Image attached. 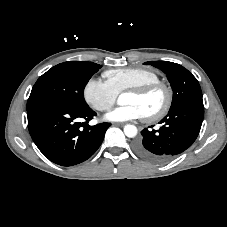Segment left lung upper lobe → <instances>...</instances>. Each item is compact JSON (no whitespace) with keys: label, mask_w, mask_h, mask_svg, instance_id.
I'll list each match as a JSON object with an SVG mask.
<instances>
[{"label":"left lung upper lobe","mask_w":227,"mask_h":227,"mask_svg":"<svg viewBox=\"0 0 227 227\" xmlns=\"http://www.w3.org/2000/svg\"><path fill=\"white\" fill-rule=\"evenodd\" d=\"M144 64L152 65L166 74L173 89L170 110L190 104L203 106L200 85L192 73L183 66L168 61H149Z\"/></svg>","instance_id":"5c2ea615"}]
</instances>
